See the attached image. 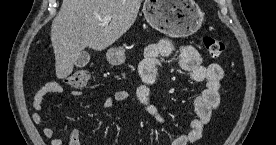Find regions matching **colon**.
I'll return each mask as SVG.
<instances>
[{
    "label": "colon",
    "mask_w": 276,
    "mask_h": 145,
    "mask_svg": "<svg viewBox=\"0 0 276 145\" xmlns=\"http://www.w3.org/2000/svg\"><path fill=\"white\" fill-rule=\"evenodd\" d=\"M203 45L212 57H219L225 51V44L212 36L203 37ZM90 79V72L85 68H80L70 73L65 82L75 88L84 87Z\"/></svg>",
    "instance_id": "1"
}]
</instances>
